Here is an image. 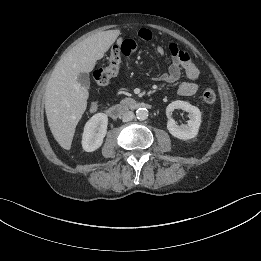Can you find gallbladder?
Here are the masks:
<instances>
[{
	"mask_svg": "<svg viewBox=\"0 0 261 261\" xmlns=\"http://www.w3.org/2000/svg\"><path fill=\"white\" fill-rule=\"evenodd\" d=\"M77 80L84 87L90 86V78H89V74H87V73H81L78 76Z\"/></svg>",
	"mask_w": 261,
	"mask_h": 261,
	"instance_id": "obj_1",
	"label": "gallbladder"
}]
</instances>
